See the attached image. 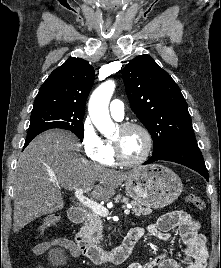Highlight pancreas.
<instances>
[{"label": "pancreas", "instance_id": "1", "mask_svg": "<svg viewBox=\"0 0 221 268\" xmlns=\"http://www.w3.org/2000/svg\"><path fill=\"white\" fill-rule=\"evenodd\" d=\"M116 199H121V196H117ZM122 201L128 203V198L122 197ZM132 213L136 216L148 215L152 211L150 208H145L141 204L132 201ZM81 234L83 238L89 241L93 245L100 244V241L103 239V226L102 219L100 215L92 212L87 218V222L81 228Z\"/></svg>", "mask_w": 221, "mask_h": 268}]
</instances>
